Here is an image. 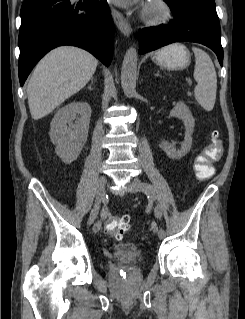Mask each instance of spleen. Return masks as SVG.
<instances>
[{"label":"spleen","mask_w":245,"mask_h":319,"mask_svg":"<svg viewBox=\"0 0 245 319\" xmlns=\"http://www.w3.org/2000/svg\"><path fill=\"white\" fill-rule=\"evenodd\" d=\"M195 55L194 79L197 85L194 95L206 111H212L216 100L217 75L210 56L202 49L193 47Z\"/></svg>","instance_id":"1"}]
</instances>
